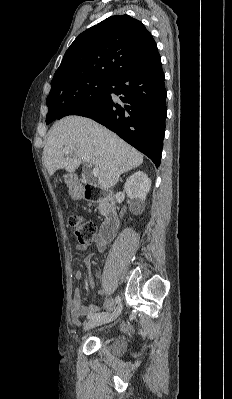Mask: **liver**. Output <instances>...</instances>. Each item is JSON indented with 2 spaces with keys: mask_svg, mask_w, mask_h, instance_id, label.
I'll list each match as a JSON object with an SVG mask.
<instances>
[{
  "mask_svg": "<svg viewBox=\"0 0 232 399\" xmlns=\"http://www.w3.org/2000/svg\"><path fill=\"white\" fill-rule=\"evenodd\" d=\"M69 146L79 152L85 160L99 170L98 184L102 190H109L117 184L119 176L138 168L143 162V154L128 146L116 134L106 130L88 118L67 116L55 122L44 148V164L49 176L56 170H66L73 174L82 160L73 152L64 158L63 148Z\"/></svg>",
  "mask_w": 232,
  "mask_h": 399,
  "instance_id": "6515ba94",
  "label": "liver"
}]
</instances>
